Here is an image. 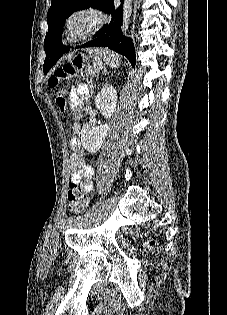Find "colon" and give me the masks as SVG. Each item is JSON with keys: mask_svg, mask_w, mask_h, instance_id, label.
<instances>
[{"mask_svg": "<svg viewBox=\"0 0 227 315\" xmlns=\"http://www.w3.org/2000/svg\"><path fill=\"white\" fill-rule=\"evenodd\" d=\"M85 59L81 56H77L72 62L58 68L54 74L48 79L50 88L56 90V102L62 112L66 111V84L69 79L75 76L83 67ZM67 200L69 209L75 213H81L88 205L89 198L87 194L82 190L78 183H71L68 192ZM156 242L153 239H149L145 242V246L148 249L153 248Z\"/></svg>", "mask_w": 227, "mask_h": 315, "instance_id": "colon-1", "label": "colon"}]
</instances>
